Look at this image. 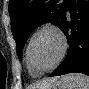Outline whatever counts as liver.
Returning <instances> with one entry per match:
<instances>
[{
  "mask_svg": "<svg viewBox=\"0 0 89 89\" xmlns=\"http://www.w3.org/2000/svg\"><path fill=\"white\" fill-rule=\"evenodd\" d=\"M57 82L56 78H49L46 80H43L41 83L37 85L38 89H46L48 86L54 84Z\"/></svg>",
  "mask_w": 89,
  "mask_h": 89,
  "instance_id": "6515ba94",
  "label": "liver"
}]
</instances>
